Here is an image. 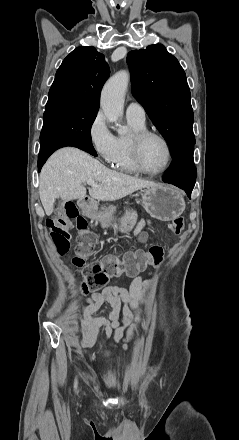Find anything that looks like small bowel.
I'll list each match as a JSON object with an SVG mask.
<instances>
[{
	"label": "small bowel",
	"instance_id": "c3829d8e",
	"mask_svg": "<svg viewBox=\"0 0 239 440\" xmlns=\"http://www.w3.org/2000/svg\"><path fill=\"white\" fill-rule=\"evenodd\" d=\"M149 225L147 220H141L135 229V235L141 242L147 239L144 229ZM149 277H136L130 288L107 286L101 292L92 293L86 304L80 310L81 346L84 350L92 347L98 336L103 334L106 339H112L114 344L123 343L124 348L138 331V322L145 314L149 303L143 299L144 292L151 286ZM108 302L112 312L108 318L93 317L100 306ZM123 312V325H119V314Z\"/></svg>",
	"mask_w": 239,
	"mask_h": 440
}]
</instances>
